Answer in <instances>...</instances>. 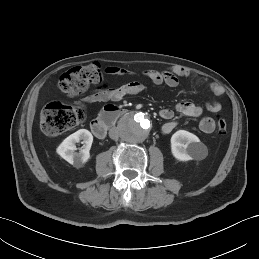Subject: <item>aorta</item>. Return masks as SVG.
Wrapping results in <instances>:
<instances>
[{
    "instance_id": "obj_1",
    "label": "aorta",
    "mask_w": 259,
    "mask_h": 259,
    "mask_svg": "<svg viewBox=\"0 0 259 259\" xmlns=\"http://www.w3.org/2000/svg\"><path fill=\"white\" fill-rule=\"evenodd\" d=\"M150 129V121L141 113L129 114L120 123L121 137L128 143L144 141Z\"/></svg>"
}]
</instances>
